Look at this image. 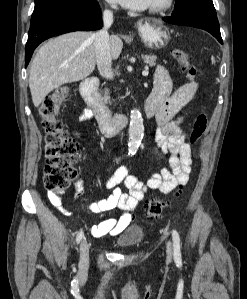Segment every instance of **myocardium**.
<instances>
[{
    "label": "myocardium",
    "instance_id": "f54148a6",
    "mask_svg": "<svg viewBox=\"0 0 247 299\" xmlns=\"http://www.w3.org/2000/svg\"><path fill=\"white\" fill-rule=\"evenodd\" d=\"M172 3V0H153L150 5V11L159 12L167 9Z\"/></svg>",
    "mask_w": 247,
    "mask_h": 299
}]
</instances>
